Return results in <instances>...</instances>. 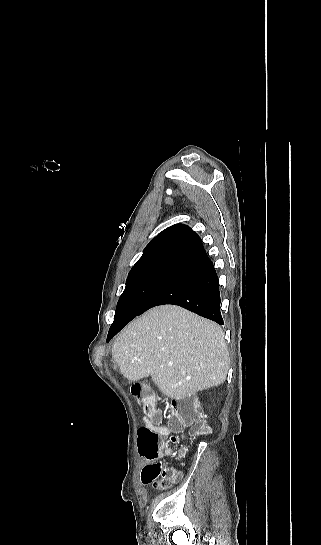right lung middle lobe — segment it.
Returning a JSON list of instances; mask_svg holds the SVG:
<instances>
[{
  "label": "right lung middle lobe",
  "instance_id": "dd1d6c3e",
  "mask_svg": "<svg viewBox=\"0 0 321 545\" xmlns=\"http://www.w3.org/2000/svg\"><path fill=\"white\" fill-rule=\"evenodd\" d=\"M176 268L151 266L130 271L116 307L114 323L135 316Z\"/></svg>",
  "mask_w": 321,
  "mask_h": 545
}]
</instances>
